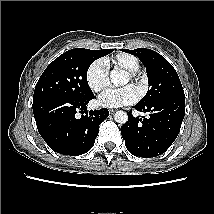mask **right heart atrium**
<instances>
[{"label":"right heart atrium","instance_id":"right-heart-atrium-1","mask_svg":"<svg viewBox=\"0 0 214 214\" xmlns=\"http://www.w3.org/2000/svg\"><path fill=\"white\" fill-rule=\"evenodd\" d=\"M86 81L90 89L94 92H101L109 82V69L102 59L93 61L86 70Z\"/></svg>","mask_w":214,"mask_h":214}]
</instances>
